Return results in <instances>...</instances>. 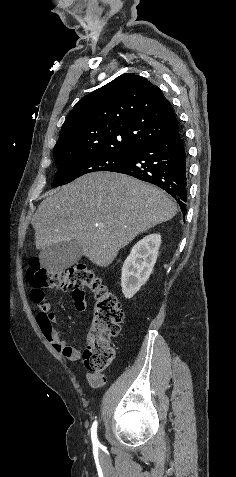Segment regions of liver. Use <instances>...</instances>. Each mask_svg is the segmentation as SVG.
<instances>
[{
	"label": "liver",
	"mask_w": 236,
	"mask_h": 477,
	"mask_svg": "<svg viewBox=\"0 0 236 477\" xmlns=\"http://www.w3.org/2000/svg\"><path fill=\"white\" fill-rule=\"evenodd\" d=\"M176 213L159 188L125 174L96 172L49 192L32 225L37 249L76 240L84 256L107 267L136 236Z\"/></svg>",
	"instance_id": "1"
}]
</instances>
